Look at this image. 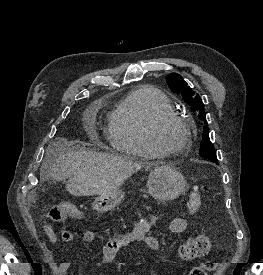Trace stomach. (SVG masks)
<instances>
[{
  "label": "stomach",
  "instance_id": "obj_1",
  "mask_svg": "<svg viewBox=\"0 0 263 275\" xmlns=\"http://www.w3.org/2000/svg\"><path fill=\"white\" fill-rule=\"evenodd\" d=\"M148 191L159 201H170L178 198L186 190L184 176L174 167L158 166L149 175ZM125 193L117 188L106 195L99 196L93 203L98 212H107L119 205Z\"/></svg>",
  "mask_w": 263,
  "mask_h": 275
}]
</instances>
